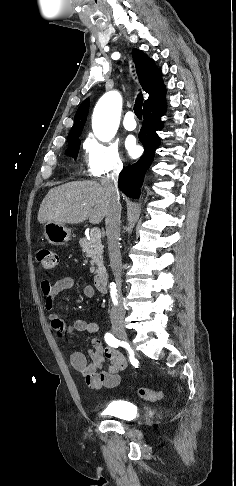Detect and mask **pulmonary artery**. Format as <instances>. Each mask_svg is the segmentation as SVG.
Returning <instances> with one entry per match:
<instances>
[{
    "mask_svg": "<svg viewBox=\"0 0 236 486\" xmlns=\"http://www.w3.org/2000/svg\"><path fill=\"white\" fill-rule=\"evenodd\" d=\"M123 126L126 130L132 131L136 128L137 123L134 118V113L132 111H128L125 114V117L123 119Z\"/></svg>",
    "mask_w": 236,
    "mask_h": 486,
    "instance_id": "e3ab8cb5",
    "label": "pulmonary artery"
}]
</instances>
